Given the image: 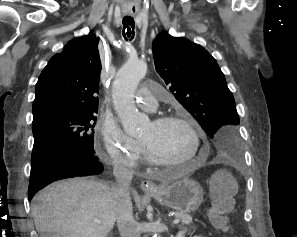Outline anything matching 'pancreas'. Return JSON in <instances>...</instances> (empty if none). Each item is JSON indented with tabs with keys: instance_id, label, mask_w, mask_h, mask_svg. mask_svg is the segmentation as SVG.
I'll return each mask as SVG.
<instances>
[{
	"instance_id": "1",
	"label": "pancreas",
	"mask_w": 297,
	"mask_h": 237,
	"mask_svg": "<svg viewBox=\"0 0 297 237\" xmlns=\"http://www.w3.org/2000/svg\"><path fill=\"white\" fill-rule=\"evenodd\" d=\"M175 218L180 219L181 225H187L192 223V216L186 213L177 212Z\"/></svg>"
}]
</instances>
